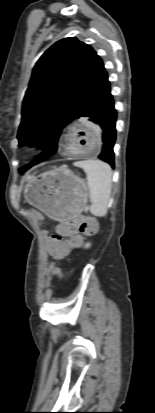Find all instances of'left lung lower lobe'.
<instances>
[{
  "mask_svg": "<svg viewBox=\"0 0 155 413\" xmlns=\"http://www.w3.org/2000/svg\"><path fill=\"white\" fill-rule=\"evenodd\" d=\"M78 115L99 125L103 141L102 152L99 158L114 168L113 146L116 139V110L105 69L95 88L82 104Z\"/></svg>",
  "mask_w": 155,
  "mask_h": 413,
  "instance_id": "obj_1",
  "label": "left lung lower lobe"
}]
</instances>
